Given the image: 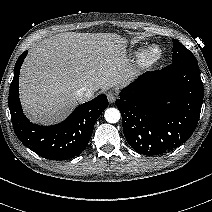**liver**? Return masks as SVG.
<instances>
[{
  "instance_id": "liver-1",
  "label": "liver",
  "mask_w": 212,
  "mask_h": 212,
  "mask_svg": "<svg viewBox=\"0 0 212 212\" xmlns=\"http://www.w3.org/2000/svg\"><path fill=\"white\" fill-rule=\"evenodd\" d=\"M126 40L110 33L68 32L37 43L26 58L19 78L20 99L36 123L53 124L77 106L82 88H122L134 72L126 57Z\"/></svg>"
}]
</instances>
